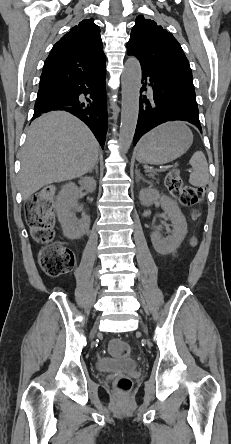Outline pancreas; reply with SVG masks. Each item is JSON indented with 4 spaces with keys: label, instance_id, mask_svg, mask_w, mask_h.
I'll use <instances>...</instances> for the list:
<instances>
[{
    "label": "pancreas",
    "instance_id": "obj_1",
    "mask_svg": "<svg viewBox=\"0 0 231 444\" xmlns=\"http://www.w3.org/2000/svg\"><path fill=\"white\" fill-rule=\"evenodd\" d=\"M158 174H157V170H153V171H151L150 172V174L148 175L150 178H152L153 180H156V177L155 176H157Z\"/></svg>",
    "mask_w": 231,
    "mask_h": 444
}]
</instances>
